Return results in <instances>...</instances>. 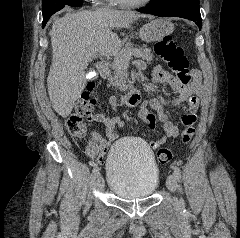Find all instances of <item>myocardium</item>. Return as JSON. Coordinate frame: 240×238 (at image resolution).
Listing matches in <instances>:
<instances>
[{"label": "myocardium", "instance_id": "obj_1", "mask_svg": "<svg viewBox=\"0 0 240 238\" xmlns=\"http://www.w3.org/2000/svg\"><path fill=\"white\" fill-rule=\"evenodd\" d=\"M118 6L124 7V8H136V7H141L144 5H147L148 3L151 2V0H140L136 2H127L123 0H113Z\"/></svg>", "mask_w": 240, "mask_h": 238}]
</instances>
